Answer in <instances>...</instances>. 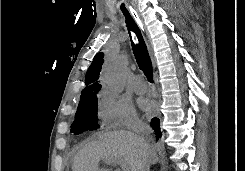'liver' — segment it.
I'll use <instances>...</instances> for the list:
<instances>
[{"mask_svg":"<svg viewBox=\"0 0 245 171\" xmlns=\"http://www.w3.org/2000/svg\"><path fill=\"white\" fill-rule=\"evenodd\" d=\"M124 160L130 171H141L144 163L156 164L152 146L146 149L140 136L129 131H111L98 135V140L85 144L74 156L72 171H109L99 168L100 160Z\"/></svg>","mask_w":245,"mask_h":171,"instance_id":"obj_1","label":"liver"}]
</instances>
